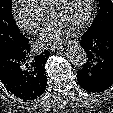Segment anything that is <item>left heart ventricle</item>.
Segmentation results:
<instances>
[{
  "instance_id": "b2bd125f",
  "label": "left heart ventricle",
  "mask_w": 113,
  "mask_h": 113,
  "mask_svg": "<svg viewBox=\"0 0 113 113\" xmlns=\"http://www.w3.org/2000/svg\"><path fill=\"white\" fill-rule=\"evenodd\" d=\"M88 2L89 0H61L50 19L74 28L86 16Z\"/></svg>"
}]
</instances>
